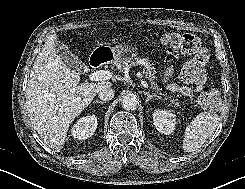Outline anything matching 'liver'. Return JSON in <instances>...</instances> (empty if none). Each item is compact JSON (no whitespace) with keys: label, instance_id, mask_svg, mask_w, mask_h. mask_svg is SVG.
Here are the masks:
<instances>
[{"label":"liver","instance_id":"liver-1","mask_svg":"<svg viewBox=\"0 0 245 189\" xmlns=\"http://www.w3.org/2000/svg\"><path fill=\"white\" fill-rule=\"evenodd\" d=\"M57 35H50L36 57L26 90V106L34 129L43 141L59 152L70 124L111 82L80 81V74L67 67L57 54Z\"/></svg>","mask_w":245,"mask_h":189}]
</instances>
